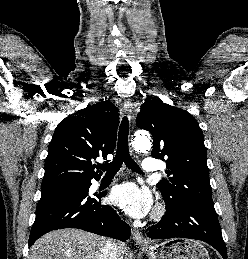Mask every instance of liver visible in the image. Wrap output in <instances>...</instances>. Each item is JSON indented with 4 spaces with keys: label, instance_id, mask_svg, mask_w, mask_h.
I'll list each match as a JSON object with an SVG mask.
<instances>
[{
    "label": "liver",
    "instance_id": "6515ba94",
    "mask_svg": "<svg viewBox=\"0 0 248 259\" xmlns=\"http://www.w3.org/2000/svg\"><path fill=\"white\" fill-rule=\"evenodd\" d=\"M106 239L83 230L66 228L51 231L30 248L27 259H101ZM118 259H123L126 246L118 243Z\"/></svg>",
    "mask_w": 248,
    "mask_h": 259
}]
</instances>
